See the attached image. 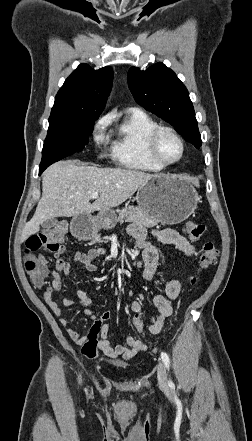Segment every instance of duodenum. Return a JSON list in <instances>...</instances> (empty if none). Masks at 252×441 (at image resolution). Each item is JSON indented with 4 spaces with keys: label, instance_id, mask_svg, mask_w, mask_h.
Returning <instances> with one entry per match:
<instances>
[{
    "label": "duodenum",
    "instance_id": "1",
    "mask_svg": "<svg viewBox=\"0 0 252 441\" xmlns=\"http://www.w3.org/2000/svg\"><path fill=\"white\" fill-rule=\"evenodd\" d=\"M72 232L78 239H90L93 236V225L91 220L87 218L74 220L72 223Z\"/></svg>",
    "mask_w": 252,
    "mask_h": 441
}]
</instances>
